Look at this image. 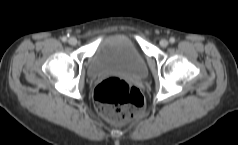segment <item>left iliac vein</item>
I'll return each instance as SVG.
<instances>
[{
    "label": "left iliac vein",
    "mask_w": 238,
    "mask_h": 145,
    "mask_svg": "<svg viewBox=\"0 0 238 145\" xmlns=\"http://www.w3.org/2000/svg\"><path fill=\"white\" fill-rule=\"evenodd\" d=\"M168 44H169V42H168V40H166V39H162V40L160 41V45H161L162 47H167Z\"/></svg>",
    "instance_id": "obj_1"
}]
</instances>
